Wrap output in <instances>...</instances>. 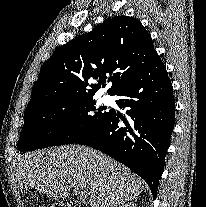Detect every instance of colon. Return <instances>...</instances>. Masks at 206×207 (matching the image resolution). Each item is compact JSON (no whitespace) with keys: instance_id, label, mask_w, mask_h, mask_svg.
Masks as SVG:
<instances>
[{"instance_id":"obj_1","label":"colon","mask_w":206,"mask_h":207,"mask_svg":"<svg viewBox=\"0 0 206 207\" xmlns=\"http://www.w3.org/2000/svg\"><path fill=\"white\" fill-rule=\"evenodd\" d=\"M56 207H81V206L76 202H68L65 205H57Z\"/></svg>"}]
</instances>
